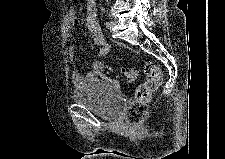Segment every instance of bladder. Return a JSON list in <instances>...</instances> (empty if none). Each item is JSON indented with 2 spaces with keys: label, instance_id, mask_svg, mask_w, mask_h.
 Wrapping results in <instances>:
<instances>
[{
  "label": "bladder",
  "instance_id": "31cf9c89",
  "mask_svg": "<svg viewBox=\"0 0 225 159\" xmlns=\"http://www.w3.org/2000/svg\"><path fill=\"white\" fill-rule=\"evenodd\" d=\"M72 98L76 104L87 107L106 120L116 119L123 103L119 90L103 80H93L76 87Z\"/></svg>",
  "mask_w": 225,
  "mask_h": 159
}]
</instances>
